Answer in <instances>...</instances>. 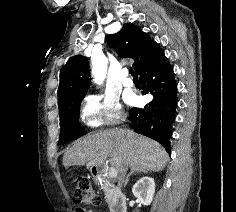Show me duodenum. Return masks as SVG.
I'll return each instance as SVG.
<instances>
[{
	"label": "duodenum",
	"mask_w": 236,
	"mask_h": 212,
	"mask_svg": "<svg viewBox=\"0 0 236 212\" xmlns=\"http://www.w3.org/2000/svg\"><path fill=\"white\" fill-rule=\"evenodd\" d=\"M93 173L95 176H101L103 170L101 168H96ZM110 187L112 190L111 212H126V197L122 190L116 185H111Z\"/></svg>",
	"instance_id": "1"
}]
</instances>
